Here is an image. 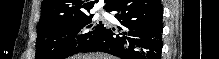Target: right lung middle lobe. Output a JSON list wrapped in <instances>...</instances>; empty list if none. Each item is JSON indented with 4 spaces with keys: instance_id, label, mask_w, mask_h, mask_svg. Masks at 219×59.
I'll return each instance as SVG.
<instances>
[{
    "instance_id": "1",
    "label": "right lung middle lobe",
    "mask_w": 219,
    "mask_h": 59,
    "mask_svg": "<svg viewBox=\"0 0 219 59\" xmlns=\"http://www.w3.org/2000/svg\"><path fill=\"white\" fill-rule=\"evenodd\" d=\"M93 15H77L37 27L35 59H64L81 52L106 29Z\"/></svg>"
}]
</instances>
